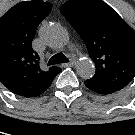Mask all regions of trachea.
<instances>
[{
  "label": "trachea",
  "mask_w": 135,
  "mask_h": 135,
  "mask_svg": "<svg viewBox=\"0 0 135 135\" xmlns=\"http://www.w3.org/2000/svg\"><path fill=\"white\" fill-rule=\"evenodd\" d=\"M68 61V58L63 53H57L49 59L48 65L66 63Z\"/></svg>",
  "instance_id": "3493384b"
}]
</instances>
